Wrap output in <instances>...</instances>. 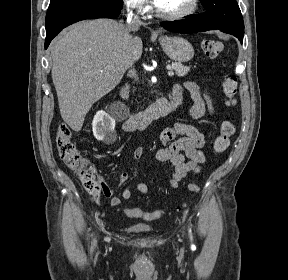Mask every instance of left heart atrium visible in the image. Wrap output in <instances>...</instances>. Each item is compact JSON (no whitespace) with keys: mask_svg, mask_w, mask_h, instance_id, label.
Here are the masks:
<instances>
[{"mask_svg":"<svg viewBox=\"0 0 288 280\" xmlns=\"http://www.w3.org/2000/svg\"><path fill=\"white\" fill-rule=\"evenodd\" d=\"M162 0H154L155 5L159 6Z\"/></svg>","mask_w":288,"mask_h":280,"instance_id":"1","label":"left heart atrium"}]
</instances>
